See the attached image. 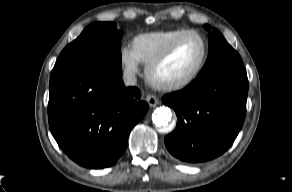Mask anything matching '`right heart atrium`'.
Here are the masks:
<instances>
[{"label": "right heart atrium", "instance_id": "d8ad5b80", "mask_svg": "<svg viewBox=\"0 0 292 192\" xmlns=\"http://www.w3.org/2000/svg\"><path fill=\"white\" fill-rule=\"evenodd\" d=\"M124 75L132 79L140 70V61L131 46H122L119 52Z\"/></svg>", "mask_w": 292, "mask_h": 192}]
</instances>
